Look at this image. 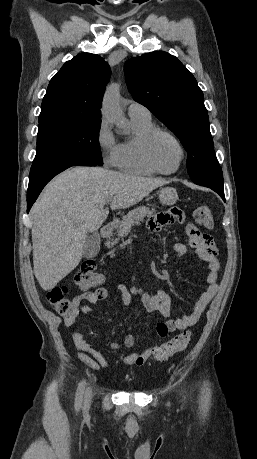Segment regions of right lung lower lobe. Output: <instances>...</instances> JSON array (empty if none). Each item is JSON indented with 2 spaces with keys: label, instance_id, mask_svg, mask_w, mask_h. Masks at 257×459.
I'll return each instance as SVG.
<instances>
[{
  "label": "right lung lower lobe",
  "instance_id": "right-lung-lower-lobe-1",
  "mask_svg": "<svg viewBox=\"0 0 257 459\" xmlns=\"http://www.w3.org/2000/svg\"><path fill=\"white\" fill-rule=\"evenodd\" d=\"M75 165L96 166L97 164L80 157H66L33 164L30 170L27 191V212H29L44 186L54 176Z\"/></svg>",
  "mask_w": 257,
  "mask_h": 459
}]
</instances>
